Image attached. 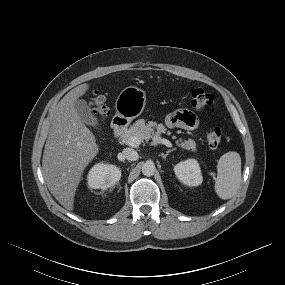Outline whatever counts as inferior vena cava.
I'll return each mask as SVG.
<instances>
[{"label": "inferior vena cava", "mask_w": 285, "mask_h": 285, "mask_svg": "<svg viewBox=\"0 0 285 285\" xmlns=\"http://www.w3.org/2000/svg\"><path fill=\"white\" fill-rule=\"evenodd\" d=\"M122 155L125 159H127L129 161H135L139 157L137 151L132 149V148L123 149Z\"/></svg>", "instance_id": "602c4592"}]
</instances>
